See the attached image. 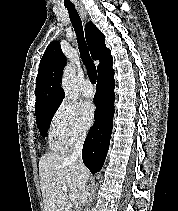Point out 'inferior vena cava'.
I'll list each match as a JSON object with an SVG mask.
<instances>
[{"instance_id":"obj_1","label":"inferior vena cava","mask_w":178,"mask_h":211,"mask_svg":"<svg viewBox=\"0 0 178 211\" xmlns=\"http://www.w3.org/2000/svg\"><path fill=\"white\" fill-rule=\"evenodd\" d=\"M86 137V131H80L73 141V150L69 158L76 161L79 165H83L82 161V149L83 143ZM82 195H86V184L83 186Z\"/></svg>"}]
</instances>
